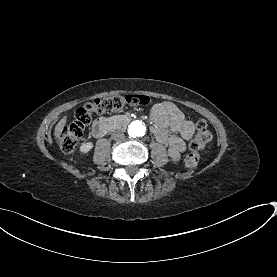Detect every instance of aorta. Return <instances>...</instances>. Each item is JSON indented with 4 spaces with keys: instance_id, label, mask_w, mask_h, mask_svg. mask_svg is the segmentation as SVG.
I'll use <instances>...</instances> for the list:
<instances>
[{
    "instance_id": "1",
    "label": "aorta",
    "mask_w": 277,
    "mask_h": 277,
    "mask_svg": "<svg viewBox=\"0 0 277 277\" xmlns=\"http://www.w3.org/2000/svg\"><path fill=\"white\" fill-rule=\"evenodd\" d=\"M146 132V126L142 121H133L129 126H128V134L131 137H142L145 135Z\"/></svg>"
}]
</instances>
